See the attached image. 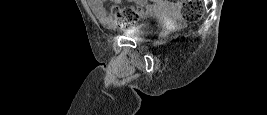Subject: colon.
I'll list each match as a JSON object with an SVG mask.
<instances>
[{
  "mask_svg": "<svg viewBox=\"0 0 267 115\" xmlns=\"http://www.w3.org/2000/svg\"><path fill=\"white\" fill-rule=\"evenodd\" d=\"M172 2L181 6L182 18L187 23L197 22L203 15V4L200 0H174ZM111 11L119 23L126 24L137 19L141 9L138 6L121 7L115 4Z\"/></svg>",
  "mask_w": 267,
  "mask_h": 115,
  "instance_id": "5ec220e1",
  "label": "colon"
}]
</instances>
